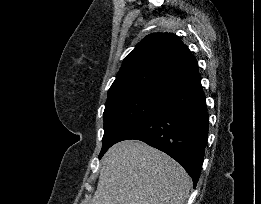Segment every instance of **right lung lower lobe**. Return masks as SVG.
<instances>
[{
  "label": "right lung lower lobe",
  "mask_w": 261,
  "mask_h": 204,
  "mask_svg": "<svg viewBox=\"0 0 261 204\" xmlns=\"http://www.w3.org/2000/svg\"><path fill=\"white\" fill-rule=\"evenodd\" d=\"M208 112L197 73L167 92L165 98L116 141L141 140L181 164L199 179L208 135Z\"/></svg>",
  "instance_id": "right-lung-lower-lobe-1"
}]
</instances>
